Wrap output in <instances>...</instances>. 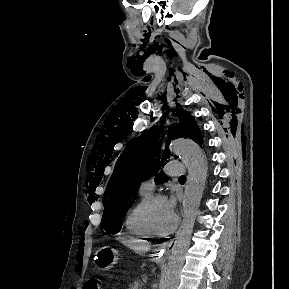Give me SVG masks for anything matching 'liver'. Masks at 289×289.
<instances>
[{"label": "liver", "instance_id": "liver-1", "mask_svg": "<svg viewBox=\"0 0 289 289\" xmlns=\"http://www.w3.org/2000/svg\"><path fill=\"white\" fill-rule=\"evenodd\" d=\"M121 242L139 254H144L150 249V246L136 239L121 240Z\"/></svg>", "mask_w": 289, "mask_h": 289}]
</instances>
